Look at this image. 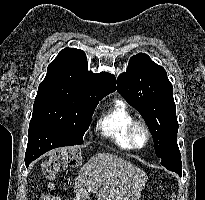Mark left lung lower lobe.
<instances>
[{"instance_id": "0a47b994", "label": "left lung lower lobe", "mask_w": 205, "mask_h": 200, "mask_svg": "<svg viewBox=\"0 0 205 200\" xmlns=\"http://www.w3.org/2000/svg\"><path fill=\"white\" fill-rule=\"evenodd\" d=\"M177 131L178 128L176 129V136L173 138V150H172V155L161 158V164L166 167L168 170L174 171L178 173L181 176L182 173V163H181V155L178 150V145H177Z\"/></svg>"}]
</instances>
